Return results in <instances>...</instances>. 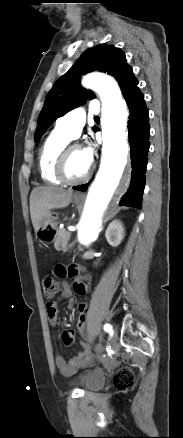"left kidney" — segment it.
<instances>
[{"instance_id": "left-kidney-1", "label": "left kidney", "mask_w": 183, "mask_h": 438, "mask_svg": "<svg viewBox=\"0 0 183 438\" xmlns=\"http://www.w3.org/2000/svg\"><path fill=\"white\" fill-rule=\"evenodd\" d=\"M107 242L111 246H118L124 238V228L120 220H113L105 233Z\"/></svg>"}]
</instances>
